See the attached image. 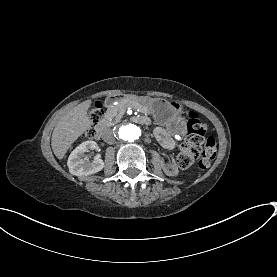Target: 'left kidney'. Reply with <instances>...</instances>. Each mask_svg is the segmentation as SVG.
<instances>
[{
  "label": "left kidney",
  "instance_id": "left-kidney-1",
  "mask_svg": "<svg viewBox=\"0 0 277 277\" xmlns=\"http://www.w3.org/2000/svg\"><path fill=\"white\" fill-rule=\"evenodd\" d=\"M173 167L170 170H167L164 165H162V170L167 176H176L179 174V169L176 165L175 159L173 158Z\"/></svg>",
  "mask_w": 277,
  "mask_h": 277
}]
</instances>
